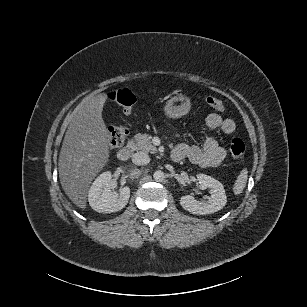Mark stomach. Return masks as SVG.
<instances>
[{"label":"stomach","instance_id":"obj_1","mask_svg":"<svg viewBox=\"0 0 307 307\" xmlns=\"http://www.w3.org/2000/svg\"><path fill=\"white\" fill-rule=\"evenodd\" d=\"M192 107L190 98L183 94H178L170 98L164 106V113L168 118L179 119L187 115Z\"/></svg>","mask_w":307,"mask_h":307}]
</instances>
